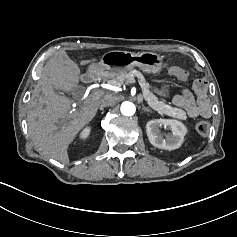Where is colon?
Masks as SVG:
<instances>
[{
    "instance_id": "colon-1",
    "label": "colon",
    "mask_w": 237,
    "mask_h": 237,
    "mask_svg": "<svg viewBox=\"0 0 237 237\" xmlns=\"http://www.w3.org/2000/svg\"><path fill=\"white\" fill-rule=\"evenodd\" d=\"M172 73L177 76L182 81H187L189 79V72L181 67H174ZM210 130V124L207 121H199L196 124V131L200 135H207Z\"/></svg>"
}]
</instances>
